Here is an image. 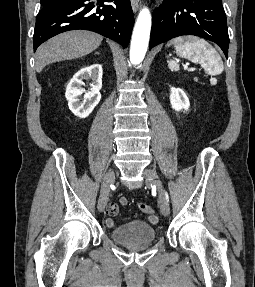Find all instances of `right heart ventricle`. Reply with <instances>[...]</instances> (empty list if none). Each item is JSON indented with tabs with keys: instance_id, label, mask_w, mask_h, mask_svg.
Here are the masks:
<instances>
[{
	"instance_id": "1",
	"label": "right heart ventricle",
	"mask_w": 255,
	"mask_h": 287,
	"mask_svg": "<svg viewBox=\"0 0 255 287\" xmlns=\"http://www.w3.org/2000/svg\"><path fill=\"white\" fill-rule=\"evenodd\" d=\"M112 39H117V38H112ZM103 48H124V47H103Z\"/></svg>"
}]
</instances>
